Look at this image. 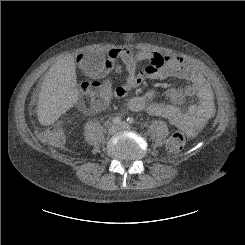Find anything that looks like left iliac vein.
I'll return each instance as SVG.
<instances>
[{"label": "left iliac vein", "mask_w": 245, "mask_h": 245, "mask_svg": "<svg viewBox=\"0 0 245 245\" xmlns=\"http://www.w3.org/2000/svg\"><path fill=\"white\" fill-rule=\"evenodd\" d=\"M131 127L127 122H121L118 126L119 130H129Z\"/></svg>", "instance_id": "4c4485c4"}]
</instances>
